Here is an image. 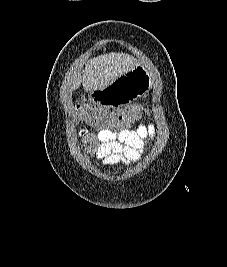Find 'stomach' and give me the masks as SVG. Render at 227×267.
I'll use <instances>...</instances> for the list:
<instances>
[{
    "mask_svg": "<svg viewBox=\"0 0 227 267\" xmlns=\"http://www.w3.org/2000/svg\"><path fill=\"white\" fill-rule=\"evenodd\" d=\"M151 73H146L143 64L130 68L129 73H122V77H113V82H107V87H96L90 91L88 104H102V107H127L135 104L138 96H146L150 87Z\"/></svg>",
    "mask_w": 227,
    "mask_h": 267,
    "instance_id": "0dacf381",
    "label": "stomach"
}]
</instances>
